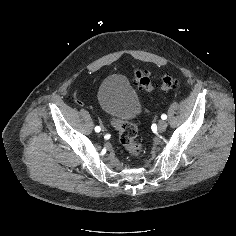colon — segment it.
<instances>
[{"mask_svg":"<svg viewBox=\"0 0 236 236\" xmlns=\"http://www.w3.org/2000/svg\"><path fill=\"white\" fill-rule=\"evenodd\" d=\"M136 84L147 92L155 90L168 91L175 89L178 85L177 79L172 74H164L159 84H156L150 78L148 72L137 70L134 73ZM112 124L118 130L119 141L127 153L132 157H140L143 152V147L137 142V129L131 122L120 120H112Z\"/></svg>","mask_w":236,"mask_h":236,"instance_id":"1","label":"colon"}]
</instances>
